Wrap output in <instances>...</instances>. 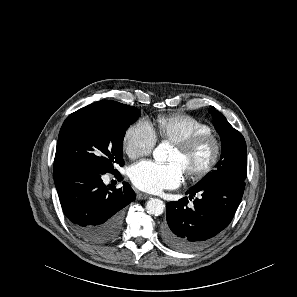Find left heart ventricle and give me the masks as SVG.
Returning <instances> with one entry per match:
<instances>
[{
  "label": "left heart ventricle",
  "instance_id": "obj_1",
  "mask_svg": "<svg viewBox=\"0 0 297 297\" xmlns=\"http://www.w3.org/2000/svg\"><path fill=\"white\" fill-rule=\"evenodd\" d=\"M213 154V145L206 142L199 146L191 153L185 155L179 149L174 147L169 161L171 163H178L182 166L184 172H195L202 169L211 159Z\"/></svg>",
  "mask_w": 297,
  "mask_h": 297
}]
</instances>
